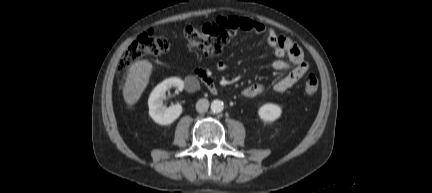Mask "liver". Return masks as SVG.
<instances>
[{
  "label": "liver",
  "instance_id": "6515ba94",
  "mask_svg": "<svg viewBox=\"0 0 432 193\" xmlns=\"http://www.w3.org/2000/svg\"><path fill=\"white\" fill-rule=\"evenodd\" d=\"M152 64L146 60L135 62L123 87L124 101L128 106L134 105L145 90L151 74Z\"/></svg>",
  "mask_w": 432,
  "mask_h": 193
}]
</instances>
